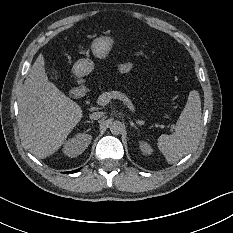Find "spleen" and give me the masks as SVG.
<instances>
[{
  "mask_svg": "<svg viewBox=\"0 0 233 233\" xmlns=\"http://www.w3.org/2000/svg\"><path fill=\"white\" fill-rule=\"evenodd\" d=\"M201 100L199 92L190 91L188 101L183 109L171 135L162 134L158 138V148L168 163L177 162L188 154L201 138Z\"/></svg>",
  "mask_w": 233,
  "mask_h": 233,
  "instance_id": "1",
  "label": "spleen"
}]
</instances>
